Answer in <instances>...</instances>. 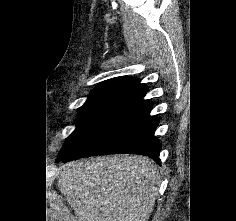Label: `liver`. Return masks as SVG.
Wrapping results in <instances>:
<instances>
[{
  "mask_svg": "<svg viewBox=\"0 0 236 221\" xmlns=\"http://www.w3.org/2000/svg\"><path fill=\"white\" fill-rule=\"evenodd\" d=\"M58 188L78 221H148L161 180L141 156H102L62 166Z\"/></svg>",
  "mask_w": 236,
  "mask_h": 221,
  "instance_id": "6515ba94",
  "label": "liver"
}]
</instances>
